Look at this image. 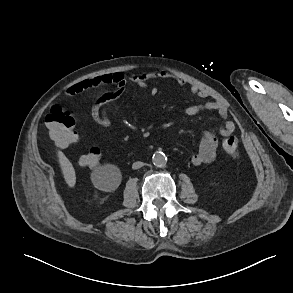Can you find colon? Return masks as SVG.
<instances>
[{"label": "colon", "mask_w": 293, "mask_h": 293, "mask_svg": "<svg viewBox=\"0 0 293 293\" xmlns=\"http://www.w3.org/2000/svg\"><path fill=\"white\" fill-rule=\"evenodd\" d=\"M45 124L52 140L60 147L69 146L77 141L75 132V120L72 115L60 106H53L46 115ZM225 153L236 158L238 156V140L230 135L223 140ZM101 150L98 147L91 148L82 155L79 163L83 167L96 168L101 159Z\"/></svg>", "instance_id": "obj_1"}]
</instances>
